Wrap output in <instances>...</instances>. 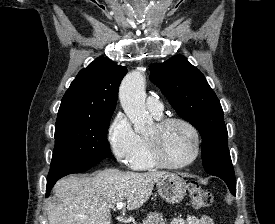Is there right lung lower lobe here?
Here are the masks:
<instances>
[{
	"label": "right lung lower lobe",
	"mask_w": 275,
	"mask_h": 224,
	"mask_svg": "<svg viewBox=\"0 0 275 224\" xmlns=\"http://www.w3.org/2000/svg\"><path fill=\"white\" fill-rule=\"evenodd\" d=\"M96 164H97V163H96ZM96 164H92V165H89V166H86V167L78 168V169H75V170L66 172V173L62 174L61 176H58V177H55V178L47 179L46 197L49 196V193H50V191H51V188L54 186V184L56 183V181L59 180L60 178L66 176V175H68V174L84 172V171L90 169L91 167H93V166L96 165Z\"/></svg>",
	"instance_id": "98d812e1"
}]
</instances>
